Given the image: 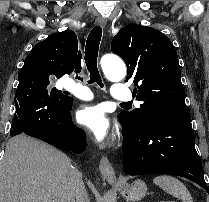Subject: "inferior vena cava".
<instances>
[{
	"label": "inferior vena cava",
	"instance_id": "1",
	"mask_svg": "<svg viewBox=\"0 0 209 202\" xmlns=\"http://www.w3.org/2000/svg\"><path fill=\"white\" fill-rule=\"evenodd\" d=\"M75 197L76 202H90L89 196L82 181V175L78 170H76Z\"/></svg>",
	"mask_w": 209,
	"mask_h": 202
}]
</instances>
